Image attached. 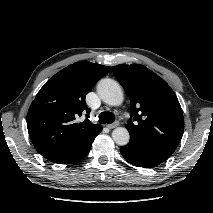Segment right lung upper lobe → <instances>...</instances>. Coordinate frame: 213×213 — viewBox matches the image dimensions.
<instances>
[{
    "mask_svg": "<svg viewBox=\"0 0 213 213\" xmlns=\"http://www.w3.org/2000/svg\"><path fill=\"white\" fill-rule=\"evenodd\" d=\"M109 71L97 63L76 62L44 84L27 114L29 136L38 152L75 147L102 129L89 121L85 97ZM85 113L86 119L77 122Z\"/></svg>",
    "mask_w": 213,
    "mask_h": 213,
    "instance_id": "obj_1",
    "label": "right lung upper lobe"
}]
</instances>
